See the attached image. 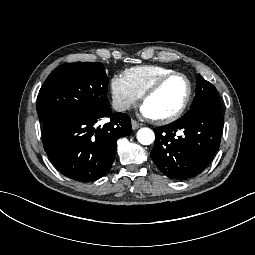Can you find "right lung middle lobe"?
<instances>
[{"label":"right lung middle lobe","instance_id":"right-lung-middle-lobe-1","mask_svg":"<svg viewBox=\"0 0 255 255\" xmlns=\"http://www.w3.org/2000/svg\"><path fill=\"white\" fill-rule=\"evenodd\" d=\"M108 78L100 62L65 63L42 85L36 103L41 123L65 114L87 112L103 117L111 111Z\"/></svg>","mask_w":255,"mask_h":255}]
</instances>
